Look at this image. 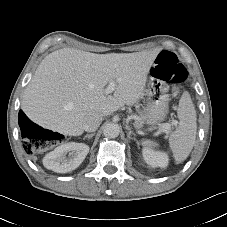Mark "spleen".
Listing matches in <instances>:
<instances>
[{
    "label": "spleen",
    "instance_id": "1",
    "mask_svg": "<svg viewBox=\"0 0 227 227\" xmlns=\"http://www.w3.org/2000/svg\"><path fill=\"white\" fill-rule=\"evenodd\" d=\"M179 125L169 137V145L176 163L183 162L190 154L195 144L197 131V117L194 104L188 92H184L178 107ZM141 144L146 148L158 146L151 140H142Z\"/></svg>",
    "mask_w": 227,
    "mask_h": 227
}]
</instances>
